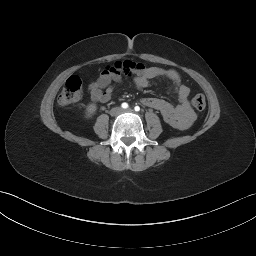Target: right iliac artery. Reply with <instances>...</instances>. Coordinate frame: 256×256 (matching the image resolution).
<instances>
[{"label": "right iliac artery", "mask_w": 256, "mask_h": 256, "mask_svg": "<svg viewBox=\"0 0 256 256\" xmlns=\"http://www.w3.org/2000/svg\"><path fill=\"white\" fill-rule=\"evenodd\" d=\"M121 107L126 109V108H128V104L124 102V103H122Z\"/></svg>", "instance_id": "right-iliac-artery-1"}]
</instances>
